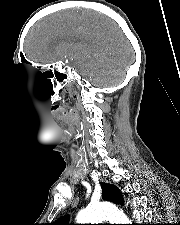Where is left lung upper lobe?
Here are the masks:
<instances>
[{"instance_id": "1", "label": "left lung upper lobe", "mask_w": 180, "mask_h": 225, "mask_svg": "<svg viewBox=\"0 0 180 225\" xmlns=\"http://www.w3.org/2000/svg\"><path fill=\"white\" fill-rule=\"evenodd\" d=\"M101 186H102V198L104 200H107L116 204L123 203L121 192L114 185L101 183ZM51 225H71V224H68V216H63L57 219Z\"/></svg>"}]
</instances>
